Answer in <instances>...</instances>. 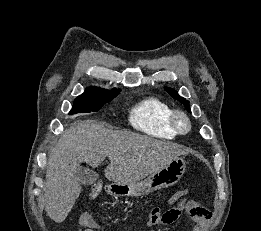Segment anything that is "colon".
<instances>
[{
  "mask_svg": "<svg viewBox=\"0 0 261 231\" xmlns=\"http://www.w3.org/2000/svg\"><path fill=\"white\" fill-rule=\"evenodd\" d=\"M185 192L180 191L176 193L173 201L177 202L184 212L191 218L192 222L199 225L207 231L208 225L212 218V213L208 209L200 206L193 200L185 198Z\"/></svg>",
  "mask_w": 261,
  "mask_h": 231,
  "instance_id": "colon-1",
  "label": "colon"
}]
</instances>
